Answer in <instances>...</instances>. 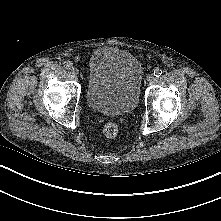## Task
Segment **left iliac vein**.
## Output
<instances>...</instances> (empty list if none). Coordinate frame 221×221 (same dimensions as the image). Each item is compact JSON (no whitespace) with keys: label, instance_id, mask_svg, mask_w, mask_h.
I'll return each instance as SVG.
<instances>
[{"label":"left iliac vein","instance_id":"left-iliac-vein-1","mask_svg":"<svg viewBox=\"0 0 221 221\" xmlns=\"http://www.w3.org/2000/svg\"><path fill=\"white\" fill-rule=\"evenodd\" d=\"M155 79V76H154V74H148L147 75V81H149V82H151V81H153Z\"/></svg>","mask_w":221,"mask_h":221}]
</instances>
